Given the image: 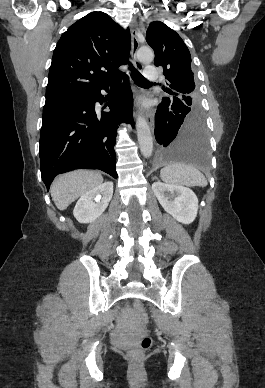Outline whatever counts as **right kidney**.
<instances>
[{
  "instance_id": "right-kidney-1",
  "label": "right kidney",
  "mask_w": 265,
  "mask_h": 388,
  "mask_svg": "<svg viewBox=\"0 0 265 388\" xmlns=\"http://www.w3.org/2000/svg\"><path fill=\"white\" fill-rule=\"evenodd\" d=\"M113 196V182H104L101 186L89 190L79 198L74 208V218L80 224H90L105 212Z\"/></svg>"
}]
</instances>
